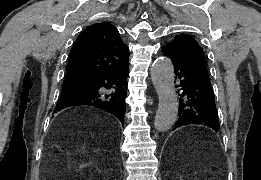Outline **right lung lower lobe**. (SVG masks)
<instances>
[{"instance_id":"obj_1","label":"right lung lower lobe","mask_w":261,"mask_h":180,"mask_svg":"<svg viewBox=\"0 0 261 180\" xmlns=\"http://www.w3.org/2000/svg\"><path fill=\"white\" fill-rule=\"evenodd\" d=\"M127 76L128 64L97 74L89 81L88 89L61 96L55 110L60 111L75 105L94 106L108 111L124 124ZM103 88L111 89L112 92L106 93Z\"/></svg>"}]
</instances>
